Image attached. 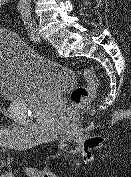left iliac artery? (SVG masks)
I'll return each mask as SVG.
<instances>
[{"label":"left iliac artery","mask_w":131,"mask_h":177,"mask_svg":"<svg viewBox=\"0 0 131 177\" xmlns=\"http://www.w3.org/2000/svg\"><path fill=\"white\" fill-rule=\"evenodd\" d=\"M21 15H22V20H23V23L26 27V30L28 32V36L29 38L35 42L36 41V32L34 30V27H33V24L31 22V15L29 13V10L26 9L24 11L21 12Z\"/></svg>","instance_id":"left-iliac-artery-1"}]
</instances>
